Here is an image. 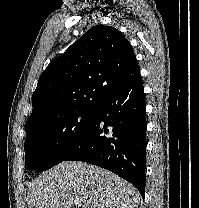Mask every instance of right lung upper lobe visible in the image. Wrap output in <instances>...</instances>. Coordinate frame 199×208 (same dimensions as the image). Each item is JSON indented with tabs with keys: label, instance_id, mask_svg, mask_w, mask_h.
<instances>
[{
	"label": "right lung upper lobe",
	"instance_id": "obj_1",
	"mask_svg": "<svg viewBox=\"0 0 199 208\" xmlns=\"http://www.w3.org/2000/svg\"><path fill=\"white\" fill-rule=\"evenodd\" d=\"M133 49L116 28L87 31L41 74L32 95L26 133L70 111L94 107L107 94L140 77Z\"/></svg>",
	"mask_w": 199,
	"mask_h": 208
}]
</instances>
